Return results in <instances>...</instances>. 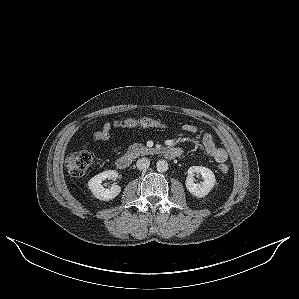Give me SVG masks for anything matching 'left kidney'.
I'll list each match as a JSON object with an SVG mask.
<instances>
[{"mask_svg":"<svg viewBox=\"0 0 299 299\" xmlns=\"http://www.w3.org/2000/svg\"><path fill=\"white\" fill-rule=\"evenodd\" d=\"M201 174L204 181L201 184L194 183V175ZM216 183L214 173L202 166H192L188 169V176L185 181L187 190L196 197H204L212 190Z\"/></svg>","mask_w":299,"mask_h":299,"instance_id":"obj_1","label":"left kidney"}]
</instances>
